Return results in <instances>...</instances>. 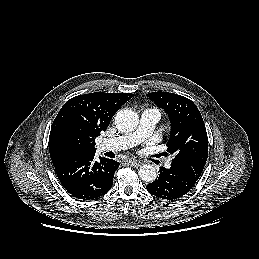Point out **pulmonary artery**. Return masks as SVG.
Instances as JSON below:
<instances>
[{
    "label": "pulmonary artery",
    "instance_id": "pulmonary-artery-1",
    "mask_svg": "<svg viewBox=\"0 0 259 259\" xmlns=\"http://www.w3.org/2000/svg\"><path fill=\"white\" fill-rule=\"evenodd\" d=\"M159 118L160 114L157 111L144 110L141 113L139 126L134 132L116 138L105 139L100 145L101 150L119 151L135 146L151 135ZM170 163L171 161L167 160L165 166L169 168Z\"/></svg>",
    "mask_w": 259,
    "mask_h": 259
}]
</instances>
